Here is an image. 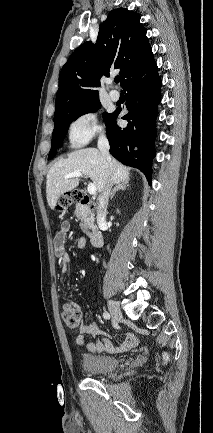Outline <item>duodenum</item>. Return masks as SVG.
Masks as SVG:
<instances>
[{
	"instance_id": "410a0bca",
	"label": "duodenum",
	"mask_w": 213,
	"mask_h": 433,
	"mask_svg": "<svg viewBox=\"0 0 213 433\" xmlns=\"http://www.w3.org/2000/svg\"><path fill=\"white\" fill-rule=\"evenodd\" d=\"M79 204L81 206L84 207H93V204L90 201H82L79 202ZM90 242L93 246L95 247H99L102 245L103 243V236L100 230L98 229H94L91 233H90Z\"/></svg>"
}]
</instances>
